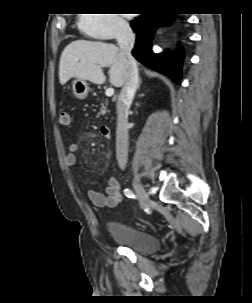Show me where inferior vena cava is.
I'll list each match as a JSON object with an SVG mask.
<instances>
[{
	"mask_svg": "<svg viewBox=\"0 0 252 303\" xmlns=\"http://www.w3.org/2000/svg\"><path fill=\"white\" fill-rule=\"evenodd\" d=\"M116 39L120 49V56L125 66V83L117 100V130H116V158L120 169H125L128 157V113L139 83L137 63L131 54L135 43L134 33L126 22H120Z\"/></svg>",
	"mask_w": 252,
	"mask_h": 303,
	"instance_id": "inferior-vena-cava-1",
	"label": "inferior vena cava"
}]
</instances>
